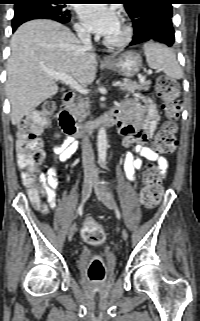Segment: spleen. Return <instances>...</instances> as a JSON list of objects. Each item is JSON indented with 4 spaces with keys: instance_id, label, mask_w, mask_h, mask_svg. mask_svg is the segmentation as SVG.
<instances>
[{
    "instance_id": "spleen-1",
    "label": "spleen",
    "mask_w": 200,
    "mask_h": 321,
    "mask_svg": "<svg viewBox=\"0 0 200 321\" xmlns=\"http://www.w3.org/2000/svg\"><path fill=\"white\" fill-rule=\"evenodd\" d=\"M146 62L152 69H161L172 79H180L182 69L176 60L174 52L159 43L148 42L143 45Z\"/></svg>"
}]
</instances>
